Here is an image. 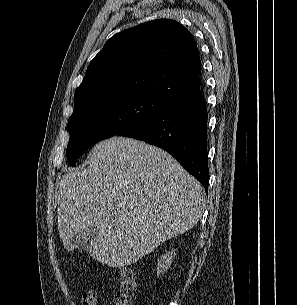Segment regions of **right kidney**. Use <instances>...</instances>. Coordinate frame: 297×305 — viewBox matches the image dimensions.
<instances>
[{
	"label": "right kidney",
	"mask_w": 297,
	"mask_h": 305,
	"mask_svg": "<svg viewBox=\"0 0 297 305\" xmlns=\"http://www.w3.org/2000/svg\"><path fill=\"white\" fill-rule=\"evenodd\" d=\"M173 258H174L173 251L168 252L160 257V260H158V266H157L158 275L161 273L162 274L165 273L169 269Z\"/></svg>",
	"instance_id": "1"
}]
</instances>
